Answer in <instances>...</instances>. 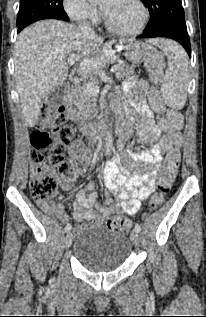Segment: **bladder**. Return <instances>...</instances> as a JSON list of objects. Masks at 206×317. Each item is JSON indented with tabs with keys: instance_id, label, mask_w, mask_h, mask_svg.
<instances>
[{
	"instance_id": "bladder-1",
	"label": "bladder",
	"mask_w": 206,
	"mask_h": 317,
	"mask_svg": "<svg viewBox=\"0 0 206 317\" xmlns=\"http://www.w3.org/2000/svg\"><path fill=\"white\" fill-rule=\"evenodd\" d=\"M131 253L129 237L100 226L84 227L73 245L74 258L85 269L96 272L120 268Z\"/></svg>"
}]
</instances>
